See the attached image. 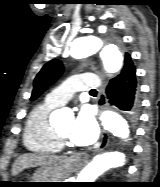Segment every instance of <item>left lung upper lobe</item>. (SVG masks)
I'll list each match as a JSON object with an SVG mask.
<instances>
[{"instance_id": "left-lung-upper-lobe-1", "label": "left lung upper lobe", "mask_w": 160, "mask_h": 187, "mask_svg": "<svg viewBox=\"0 0 160 187\" xmlns=\"http://www.w3.org/2000/svg\"><path fill=\"white\" fill-rule=\"evenodd\" d=\"M129 55L125 53V56ZM63 72V65L59 60H52L45 64L34 80L31 100H35L47 86L53 84Z\"/></svg>"}]
</instances>
